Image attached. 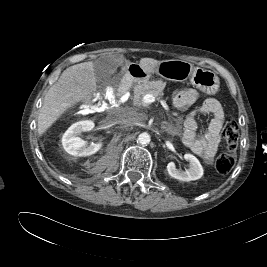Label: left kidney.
I'll use <instances>...</instances> for the list:
<instances>
[{
    "instance_id": "5707ae66",
    "label": "left kidney",
    "mask_w": 267,
    "mask_h": 267,
    "mask_svg": "<svg viewBox=\"0 0 267 267\" xmlns=\"http://www.w3.org/2000/svg\"><path fill=\"white\" fill-rule=\"evenodd\" d=\"M185 160L189 161V168L185 170H178L174 162L167 165L168 174L180 181H192L200 179L203 176V168L199 160L192 154H185Z\"/></svg>"
}]
</instances>
